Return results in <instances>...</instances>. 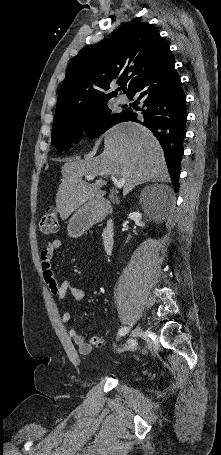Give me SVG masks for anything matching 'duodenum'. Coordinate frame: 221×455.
Here are the masks:
<instances>
[{"label": "duodenum", "instance_id": "1", "mask_svg": "<svg viewBox=\"0 0 221 455\" xmlns=\"http://www.w3.org/2000/svg\"><path fill=\"white\" fill-rule=\"evenodd\" d=\"M111 213L110 202L106 200L100 201L95 216L97 220L108 217L106 227L103 231V247L107 254L112 253L115 244L114 221L110 217Z\"/></svg>", "mask_w": 221, "mask_h": 455}]
</instances>
